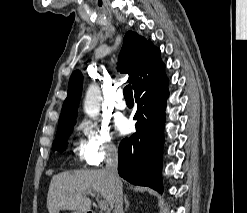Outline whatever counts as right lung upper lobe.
I'll use <instances>...</instances> for the list:
<instances>
[{
  "label": "right lung upper lobe",
  "mask_w": 247,
  "mask_h": 213,
  "mask_svg": "<svg viewBox=\"0 0 247 213\" xmlns=\"http://www.w3.org/2000/svg\"><path fill=\"white\" fill-rule=\"evenodd\" d=\"M164 67L160 50L150 40L147 41L131 31L126 33L119 56L118 71L129 74L128 82L132 83L133 89L158 75ZM82 81L80 71H74L70 77L68 95L62 106L58 128L75 124Z\"/></svg>",
  "instance_id": "right-lung-upper-lobe-1"
}]
</instances>
